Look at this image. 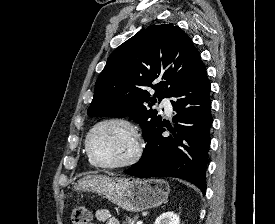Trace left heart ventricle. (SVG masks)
<instances>
[{
	"mask_svg": "<svg viewBox=\"0 0 275 224\" xmlns=\"http://www.w3.org/2000/svg\"><path fill=\"white\" fill-rule=\"evenodd\" d=\"M91 149L103 163H118L131 156L134 140L130 130L118 123L105 124L91 137Z\"/></svg>",
	"mask_w": 275,
	"mask_h": 224,
	"instance_id": "1",
	"label": "left heart ventricle"
}]
</instances>
